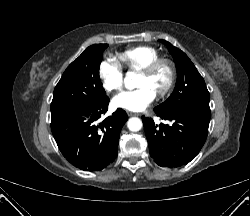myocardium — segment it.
Here are the masks:
<instances>
[{
  "label": "myocardium",
  "instance_id": "myocardium-1",
  "mask_svg": "<svg viewBox=\"0 0 250 216\" xmlns=\"http://www.w3.org/2000/svg\"><path fill=\"white\" fill-rule=\"evenodd\" d=\"M162 76L161 83L157 88V93L160 96L165 95L171 88L174 81V68L168 61L156 62L144 69L146 76H153L156 73Z\"/></svg>",
  "mask_w": 250,
  "mask_h": 216
}]
</instances>
